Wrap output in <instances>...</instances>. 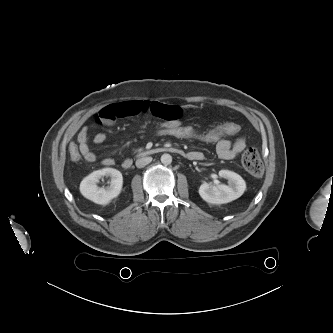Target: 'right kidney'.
I'll return each instance as SVG.
<instances>
[{
    "label": "right kidney",
    "mask_w": 333,
    "mask_h": 333,
    "mask_svg": "<svg viewBox=\"0 0 333 333\" xmlns=\"http://www.w3.org/2000/svg\"><path fill=\"white\" fill-rule=\"evenodd\" d=\"M104 176L110 177V185L106 188H100L97 183ZM122 186L123 177L120 171L113 168H104L85 177L80 183L79 189L85 198L97 204L106 205L121 193Z\"/></svg>",
    "instance_id": "1"
}]
</instances>
